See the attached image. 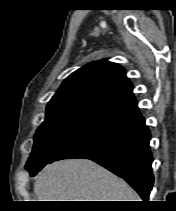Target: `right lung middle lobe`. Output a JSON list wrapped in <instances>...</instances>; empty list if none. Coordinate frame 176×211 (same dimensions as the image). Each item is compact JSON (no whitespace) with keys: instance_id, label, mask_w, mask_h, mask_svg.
I'll return each mask as SVG.
<instances>
[{"instance_id":"obj_1","label":"right lung middle lobe","mask_w":176,"mask_h":211,"mask_svg":"<svg viewBox=\"0 0 176 211\" xmlns=\"http://www.w3.org/2000/svg\"><path fill=\"white\" fill-rule=\"evenodd\" d=\"M98 122L63 115H46L34 138L26 169L29 172L46 165L59 151L87 133Z\"/></svg>"}]
</instances>
